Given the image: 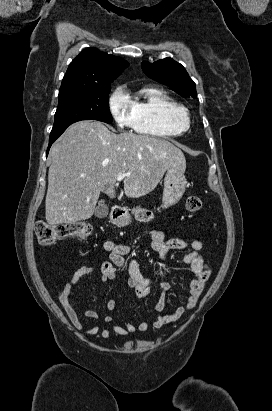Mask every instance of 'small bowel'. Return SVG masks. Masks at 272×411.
Instances as JSON below:
<instances>
[{"label":"small bowel","instance_id":"c3829d8e","mask_svg":"<svg viewBox=\"0 0 272 411\" xmlns=\"http://www.w3.org/2000/svg\"><path fill=\"white\" fill-rule=\"evenodd\" d=\"M140 219L143 221H151V213H141ZM150 242L149 247L155 251L159 257L168 262L169 253L172 250H186L190 252L186 253L182 259V262L189 267L191 275V281L189 285V296L184 306L178 307L172 313H164L165 308V294L170 290V285L165 280H159L158 286L160 289V297L155 305V311L158 314L156 319L152 322L153 329H160L163 326L175 322L186 312L193 310L202 295L205 284L210 276V268L201 255L203 243L200 240L185 241L178 238L166 240L164 233L157 229L152 228L149 232ZM103 248L109 254V260L105 261L101 267L100 281L102 283H109L117 278L118 269H124L126 273V283L134 291L135 295L139 298L147 297L150 294L152 284L154 280L149 277H145L139 264L134 258H127L132 251V247L128 244H116L113 241H105ZM95 271L94 266H82L75 271L71 279L66 283L61 296L59 297L60 303L68 316L73 326L78 330H83L87 335H96L100 333L103 339H108L112 334H116L121 337H127L135 332H147L150 325L147 321L142 320L138 324L124 323L121 325H112L104 329L96 324L83 323L69 302V295L73 287L85 276L92 274ZM117 306L116 299H109L106 303V309L113 311ZM84 317L88 319H99L100 315L94 310H85ZM103 322L111 323L112 317L105 315L102 317Z\"/></svg>","mask_w":272,"mask_h":411}]
</instances>
